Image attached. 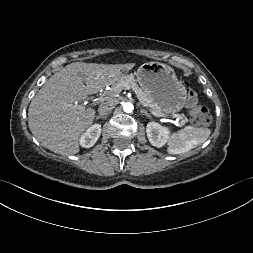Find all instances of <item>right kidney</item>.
Here are the masks:
<instances>
[{
    "label": "right kidney",
    "mask_w": 253,
    "mask_h": 253,
    "mask_svg": "<svg viewBox=\"0 0 253 253\" xmlns=\"http://www.w3.org/2000/svg\"><path fill=\"white\" fill-rule=\"evenodd\" d=\"M101 134V125L100 124H94L91 127H89L86 132L80 137V145L84 148H90L99 139Z\"/></svg>",
    "instance_id": "1"
}]
</instances>
